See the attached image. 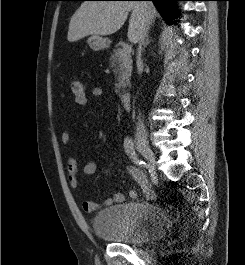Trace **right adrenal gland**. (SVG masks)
<instances>
[{"label":"right adrenal gland","instance_id":"1","mask_svg":"<svg viewBox=\"0 0 245 265\" xmlns=\"http://www.w3.org/2000/svg\"><path fill=\"white\" fill-rule=\"evenodd\" d=\"M150 43V40H149V32H147L146 34V38H145V43H144V49L147 47V45Z\"/></svg>","mask_w":245,"mask_h":265}]
</instances>
